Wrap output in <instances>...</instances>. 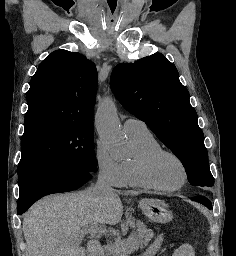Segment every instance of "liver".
<instances>
[{
	"label": "liver",
	"instance_id": "6515ba94",
	"mask_svg": "<svg viewBox=\"0 0 236 256\" xmlns=\"http://www.w3.org/2000/svg\"><path fill=\"white\" fill-rule=\"evenodd\" d=\"M118 194L100 198L88 188L77 194H51L36 202L22 224L28 256H100L98 240H90L80 248L79 236L87 226L120 222L123 206Z\"/></svg>",
	"mask_w": 236,
	"mask_h": 256
}]
</instances>
